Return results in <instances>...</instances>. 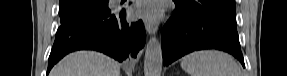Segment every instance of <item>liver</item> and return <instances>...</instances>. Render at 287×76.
<instances>
[{
    "label": "liver",
    "mask_w": 287,
    "mask_h": 76,
    "mask_svg": "<svg viewBox=\"0 0 287 76\" xmlns=\"http://www.w3.org/2000/svg\"><path fill=\"white\" fill-rule=\"evenodd\" d=\"M50 76H120V64L95 51H78L64 57Z\"/></svg>",
    "instance_id": "obj_1"
}]
</instances>
